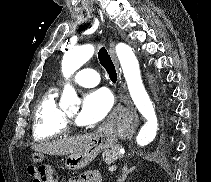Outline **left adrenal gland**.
Segmentation results:
<instances>
[{
  "mask_svg": "<svg viewBox=\"0 0 211 182\" xmlns=\"http://www.w3.org/2000/svg\"><path fill=\"white\" fill-rule=\"evenodd\" d=\"M135 169V166L128 169L127 165H124L123 169H122V174L121 176L118 178L117 182H124L125 179L127 178V176Z\"/></svg>",
  "mask_w": 211,
  "mask_h": 182,
  "instance_id": "obj_1",
  "label": "left adrenal gland"
}]
</instances>
